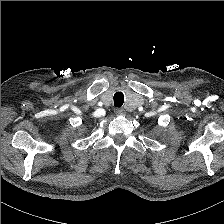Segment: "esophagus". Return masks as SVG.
Returning <instances> with one entry per match:
<instances>
[{"mask_svg":"<svg viewBox=\"0 0 224 224\" xmlns=\"http://www.w3.org/2000/svg\"><path fill=\"white\" fill-rule=\"evenodd\" d=\"M115 113H116V115L123 116L126 114V111L122 108H118V109H116Z\"/></svg>","mask_w":224,"mask_h":224,"instance_id":"esophagus-1","label":"esophagus"}]
</instances>
